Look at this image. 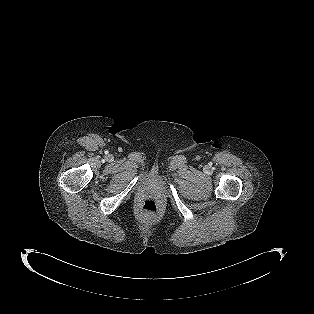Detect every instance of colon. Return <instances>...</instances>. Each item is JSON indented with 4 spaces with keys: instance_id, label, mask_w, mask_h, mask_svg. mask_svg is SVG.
<instances>
[{
    "instance_id": "colon-1",
    "label": "colon",
    "mask_w": 314,
    "mask_h": 314,
    "mask_svg": "<svg viewBox=\"0 0 314 314\" xmlns=\"http://www.w3.org/2000/svg\"><path fill=\"white\" fill-rule=\"evenodd\" d=\"M141 213L147 217H156L160 215V210L157 203L153 200H146L140 208Z\"/></svg>"
}]
</instances>
